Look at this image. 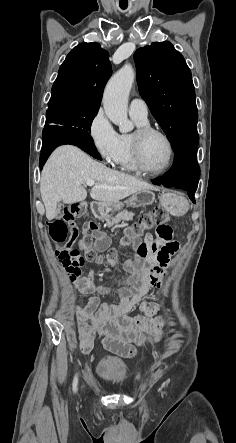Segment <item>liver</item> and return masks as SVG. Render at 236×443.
<instances>
[{"instance_id":"obj_1","label":"liver","mask_w":236,"mask_h":443,"mask_svg":"<svg viewBox=\"0 0 236 443\" xmlns=\"http://www.w3.org/2000/svg\"><path fill=\"white\" fill-rule=\"evenodd\" d=\"M88 180L107 187H93L90 196L108 205L142 190L153 189L147 182L93 160L75 146H60L51 154L41 174L40 192L47 219L56 217L61 201L66 204L84 201L87 197L84 184Z\"/></svg>"}]
</instances>
